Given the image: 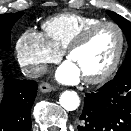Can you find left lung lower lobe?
<instances>
[{"label":"left lung lower lobe","mask_w":131,"mask_h":131,"mask_svg":"<svg viewBox=\"0 0 131 131\" xmlns=\"http://www.w3.org/2000/svg\"><path fill=\"white\" fill-rule=\"evenodd\" d=\"M85 95L78 131H131V75L114 77Z\"/></svg>","instance_id":"left-lung-lower-lobe-1"}]
</instances>
